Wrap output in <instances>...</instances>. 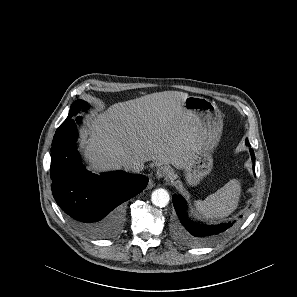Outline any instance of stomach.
I'll return each instance as SVG.
<instances>
[{
    "instance_id": "obj_1",
    "label": "stomach",
    "mask_w": 297,
    "mask_h": 297,
    "mask_svg": "<svg viewBox=\"0 0 297 297\" xmlns=\"http://www.w3.org/2000/svg\"><path fill=\"white\" fill-rule=\"evenodd\" d=\"M183 108L186 114L192 115L198 121L201 128V142L181 168L187 183L194 186L212 170V153L222 134L223 119L218 107L204 97L188 96Z\"/></svg>"
}]
</instances>
